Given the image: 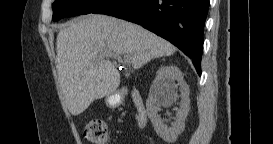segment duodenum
I'll list each match as a JSON object with an SVG mask.
<instances>
[{"instance_id":"410a0bca","label":"duodenum","mask_w":273,"mask_h":144,"mask_svg":"<svg viewBox=\"0 0 273 144\" xmlns=\"http://www.w3.org/2000/svg\"><path fill=\"white\" fill-rule=\"evenodd\" d=\"M131 94L137 111V125L141 128L145 127L147 124V114L140 93L137 90H133Z\"/></svg>"}]
</instances>
